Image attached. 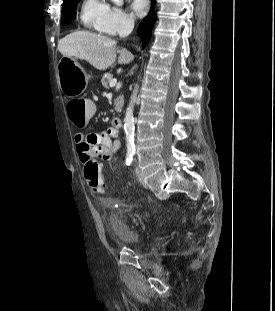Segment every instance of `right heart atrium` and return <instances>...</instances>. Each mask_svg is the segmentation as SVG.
<instances>
[{
	"label": "right heart atrium",
	"instance_id": "right-heart-atrium-1",
	"mask_svg": "<svg viewBox=\"0 0 275 311\" xmlns=\"http://www.w3.org/2000/svg\"><path fill=\"white\" fill-rule=\"evenodd\" d=\"M134 20L124 9L116 6H109V9L102 20L101 28L108 35L125 33L133 28Z\"/></svg>",
	"mask_w": 275,
	"mask_h": 311
}]
</instances>
